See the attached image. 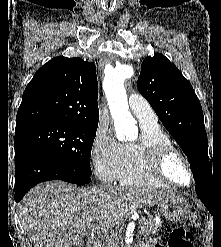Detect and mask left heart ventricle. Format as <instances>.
I'll list each match as a JSON object with an SVG mask.
<instances>
[{"instance_id": "left-heart-ventricle-1", "label": "left heart ventricle", "mask_w": 221, "mask_h": 247, "mask_svg": "<svg viewBox=\"0 0 221 247\" xmlns=\"http://www.w3.org/2000/svg\"><path fill=\"white\" fill-rule=\"evenodd\" d=\"M167 175L174 181L186 184L189 181V175L183 161L177 156L170 157L165 164Z\"/></svg>"}]
</instances>
